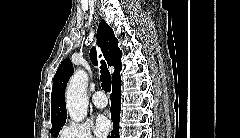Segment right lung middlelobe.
Returning a JSON list of instances; mask_svg holds the SVG:
<instances>
[{
  "label": "right lung middle lobe",
  "mask_w": 240,
  "mask_h": 138,
  "mask_svg": "<svg viewBox=\"0 0 240 138\" xmlns=\"http://www.w3.org/2000/svg\"><path fill=\"white\" fill-rule=\"evenodd\" d=\"M63 125L64 124H59V125H56V126H52L51 134L54 136V138H57V136L59 134V131H60V129Z\"/></svg>",
  "instance_id": "obj_1"
}]
</instances>
